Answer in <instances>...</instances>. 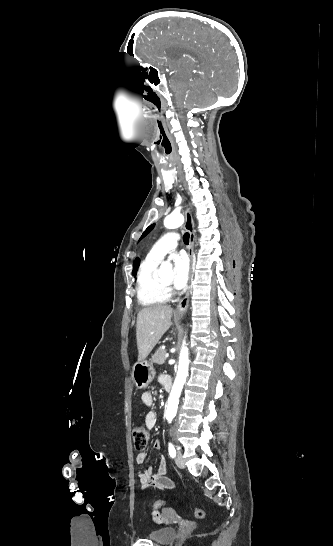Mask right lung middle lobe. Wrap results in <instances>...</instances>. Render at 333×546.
Wrapping results in <instances>:
<instances>
[{
    "mask_svg": "<svg viewBox=\"0 0 333 546\" xmlns=\"http://www.w3.org/2000/svg\"><path fill=\"white\" fill-rule=\"evenodd\" d=\"M137 267H138V265H136V264L133 265V272H134V274H136Z\"/></svg>",
    "mask_w": 333,
    "mask_h": 546,
    "instance_id": "1",
    "label": "right lung middle lobe"
}]
</instances>
